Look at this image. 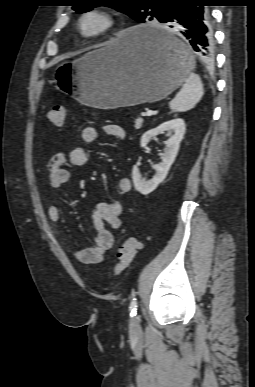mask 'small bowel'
<instances>
[{
    "label": "small bowel",
    "mask_w": 255,
    "mask_h": 387,
    "mask_svg": "<svg viewBox=\"0 0 255 387\" xmlns=\"http://www.w3.org/2000/svg\"><path fill=\"white\" fill-rule=\"evenodd\" d=\"M103 130L105 134L119 140H124L126 137L124 128L117 124H106ZM97 138L98 131L95 127L86 126L81 130V139L84 143L92 144ZM67 160L72 165L82 166L87 163L88 156L82 147H76L68 154L65 152L54 154L47 164L48 181L51 188L59 189L69 182L70 172L64 167ZM131 188L130 178L122 177L118 180V189L121 193H128ZM122 213L123 204L116 199L103 201L96 205L92 214L95 229L93 245L73 250V255L79 262L97 264L102 261L105 252L113 245L115 232L121 227ZM48 217L52 222L59 221L60 208L57 205H51L48 209Z\"/></svg>",
    "instance_id": "obj_1"
}]
</instances>
